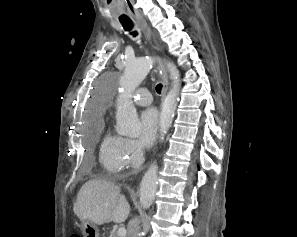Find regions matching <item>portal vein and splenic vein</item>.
Wrapping results in <instances>:
<instances>
[{
  "instance_id": "1",
  "label": "portal vein and splenic vein",
  "mask_w": 297,
  "mask_h": 237,
  "mask_svg": "<svg viewBox=\"0 0 297 237\" xmlns=\"http://www.w3.org/2000/svg\"><path fill=\"white\" fill-rule=\"evenodd\" d=\"M117 235H118V237H125L126 236V230H125V228H119L117 230Z\"/></svg>"
}]
</instances>
